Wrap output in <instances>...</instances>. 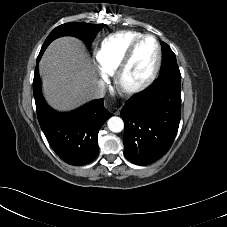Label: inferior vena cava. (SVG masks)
I'll list each match as a JSON object with an SVG mask.
<instances>
[{
  "instance_id": "1",
  "label": "inferior vena cava",
  "mask_w": 227,
  "mask_h": 227,
  "mask_svg": "<svg viewBox=\"0 0 227 227\" xmlns=\"http://www.w3.org/2000/svg\"><path fill=\"white\" fill-rule=\"evenodd\" d=\"M106 86L101 80L97 81L95 86L91 89L90 95L94 99L102 98L105 96Z\"/></svg>"
}]
</instances>
